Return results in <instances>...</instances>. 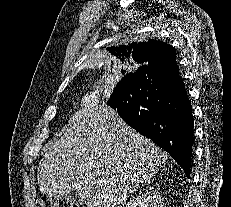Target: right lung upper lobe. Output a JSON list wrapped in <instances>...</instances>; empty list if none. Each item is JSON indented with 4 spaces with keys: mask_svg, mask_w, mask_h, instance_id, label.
<instances>
[{
    "mask_svg": "<svg viewBox=\"0 0 231 207\" xmlns=\"http://www.w3.org/2000/svg\"><path fill=\"white\" fill-rule=\"evenodd\" d=\"M107 50L116 56L115 62L122 65L130 60L141 64L140 67L147 65H159L163 68H172L176 66V50L161 41L148 40V42H133L118 47H110ZM139 67V68H140Z\"/></svg>",
    "mask_w": 231,
    "mask_h": 207,
    "instance_id": "cb5924a9",
    "label": "right lung upper lobe"
}]
</instances>
